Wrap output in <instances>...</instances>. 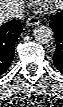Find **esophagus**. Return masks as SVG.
Masks as SVG:
<instances>
[{
    "mask_svg": "<svg viewBox=\"0 0 63 107\" xmlns=\"http://www.w3.org/2000/svg\"><path fill=\"white\" fill-rule=\"evenodd\" d=\"M40 22L39 17L37 16H30L27 21H26V25L27 26H36L38 25Z\"/></svg>",
    "mask_w": 63,
    "mask_h": 107,
    "instance_id": "1",
    "label": "esophagus"
}]
</instances>
